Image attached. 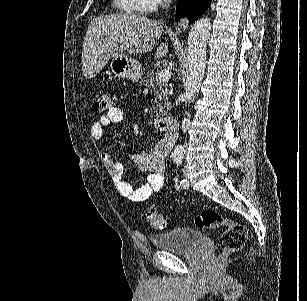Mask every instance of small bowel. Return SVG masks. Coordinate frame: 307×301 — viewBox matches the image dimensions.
<instances>
[{
    "label": "small bowel",
    "instance_id": "c3829d8e",
    "mask_svg": "<svg viewBox=\"0 0 307 301\" xmlns=\"http://www.w3.org/2000/svg\"><path fill=\"white\" fill-rule=\"evenodd\" d=\"M123 119V109L120 107H112L98 121L92 124L90 129L91 139L100 140L103 136L105 126L120 123ZM169 146V141L163 139L150 151L131 155V159L136 166L140 170L149 173L146 182L139 187H135L124 179L122 165L116 162L108 153H101V160L111 175L119 193L132 201L142 202L160 191L164 186V158L169 150Z\"/></svg>",
    "mask_w": 307,
    "mask_h": 301
}]
</instances>
